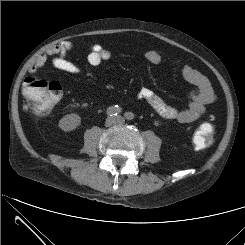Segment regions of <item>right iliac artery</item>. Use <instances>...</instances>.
<instances>
[{
  "instance_id": "82829eb1",
  "label": "right iliac artery",
  "mask_w": 245,
  "mask_h": 245,
  "mask_svg": "<svg viewBox=\"0 0 245 245\" xmlns=\"http://www.w3.org/2000/svg\"><path fill=\"white\" fill-rule=\"evenodd\" d=\"M121 112H122L121 108L118 105H115L109 107L106 111V114L111 117V116H116Z\"/></svg>"
}]
</instances>
